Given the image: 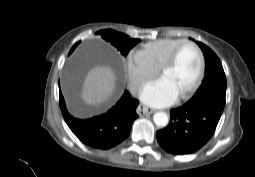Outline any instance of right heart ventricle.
I'll return each instance as SVG.
<instances>
[{"mask_svg": "<svg viewBox=\"0 0 255 177\" xmlns=\"http://www.w3.org/2000/svg\"><path fill=\"white\" fill-rule=\"evenodd\" d=\"M183 41L184 39L181 38H165L149 42L142 47L139 54L158 70L169 58L175 47Z\"/></svg>", "mask_w": 255, "mask_h": 177, "instance_id": "1", "label": "right heart ventricle"}]
</instances>
